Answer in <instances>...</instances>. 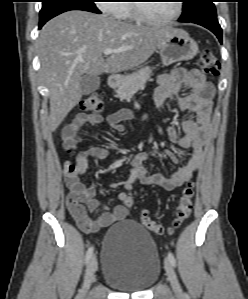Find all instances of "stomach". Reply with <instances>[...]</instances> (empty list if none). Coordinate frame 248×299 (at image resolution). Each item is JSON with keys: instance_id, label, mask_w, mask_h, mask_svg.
I'll use <instances>...</instances> for the list:
<instances>
[{"instance_id": "0dacf381", "label": "stomach", "mask_w": 248, "mask_h": 299, "mask_svg": "<svg viewBox=\"0 0 248 299\" xmlns=\"http://www.w3.org/2000/svg\"><path fill=\"white\" fill-rule=\"evenodd\" d=\"M158 49L162 63L166 66L178 61L190 60L198 53L197 43L181 29H174Z\"/></svg>"}]
</instances>
